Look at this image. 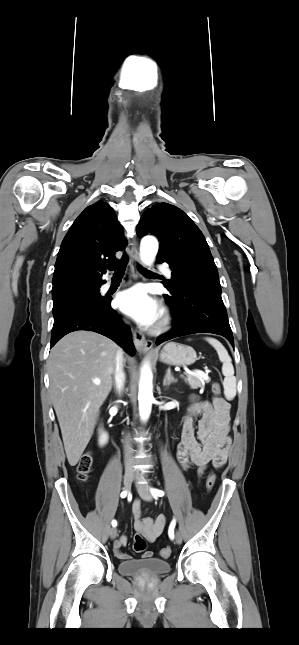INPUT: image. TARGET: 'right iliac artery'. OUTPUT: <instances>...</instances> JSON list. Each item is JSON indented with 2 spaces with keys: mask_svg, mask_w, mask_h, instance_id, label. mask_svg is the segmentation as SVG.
Masks as SVG:
<instances>
[{
  "mask_svg": "<svg viewBox=\"0 0 299 645\" xmlns=\"http://www.w3.org/2000/svg\"><path fill=\"white\" fill-rule=\"evenodd\" d=\"M122 498H125L127 496V491H123L120 495ZM117 525V522L115 520L112 521V526L115 527Z\"/></svg>",
  "mask_w": 299,
  "mask_h": 645,
  "instance_id": "1",
  "label": "right iliac artery"
}]
</instances>
